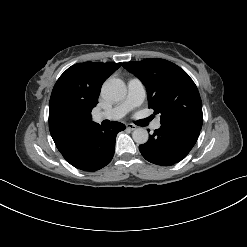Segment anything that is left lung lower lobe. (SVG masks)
<instances>
[{"instance_id":"0a47b994","label":"left lung lower lobe","mask_w":247,"mask_h":247,"mask_svg":"<svg viewBox=\"0 0 247 247\" xmlns=\"http://www.w3.org/2000/svg\"><path fill=\"white\" fill-rule=\"evenodd\" d=\"M200 130L164 124L156 129L146 143L139 146L142 156L149 162L170 166L181 161L193 148Z\"/></svg>"}]
</instances>
